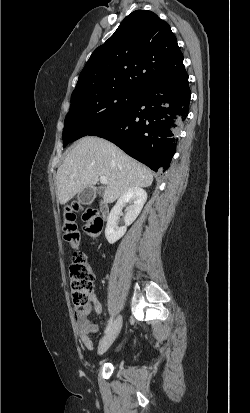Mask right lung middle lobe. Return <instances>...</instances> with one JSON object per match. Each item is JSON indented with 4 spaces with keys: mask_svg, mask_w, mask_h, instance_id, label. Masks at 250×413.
<instances>
[{
    "mask_svg": "<svg viewBox=\"0 0 250 413\" xmlns=\"http://www.w3.org/2000/svg\"><path fill=\"white\" fill-rule=\"evenodd\" d=\"M138 93L135 88L118 87L72 94L65 118L63 147L118 116L135 101Z\"/></svg>",
    "mask_w": 250,
    "mask_h": 413,
    "instance_id": "dd1d6c3e",
    "label": "right lung middle lobe"
}]
</instances>
